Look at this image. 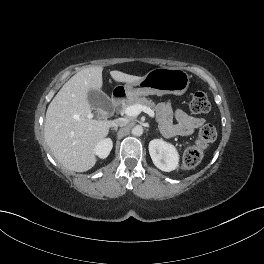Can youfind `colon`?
Instances as JSON below:
<instances>
[{
  "instance_id": "obj_1",
  "label": "colon",
  "mask_w": 264,
  "mask_h": 264,
  "mask_svg": "<svg viewBox=\"0 0 264 264\" xmlns=\"http://www.w3.org/2000/svg\"><path fill=\"white\" fill-rule=\"evenodd\" d=\"M190 109L193 113H206L210 109V102L205 93L197 91L193 94L190 101ZM217 137V131L211 124H205L198 133V139L194 146L189 147L183 155V167L191 169L201 161L203 151Z\"/></svg>"
}]
</instances>
